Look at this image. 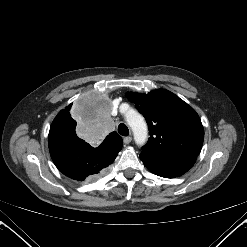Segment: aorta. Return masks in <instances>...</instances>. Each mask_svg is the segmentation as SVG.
I'll use <instances>...</instances> for the list:
<instances>
[{
  "label": "aorta",
  "instance_id": "obj_1",
  "mask_svg": "<svg viewBox=\"0 0 247 247\" xmlns=\"http://www.w3.org/2000/svg\"><path fill=\"white\" fill-rule=\"evenodd\" d=\"M127 122L132 128L136 144L139 146L144 145L147 141L148 130L143 117L140 114L133 112L132 115L127 116Z\"/></svg>",
  "mask_w": 247,
  "mask_h": 247
}]
</instances>
